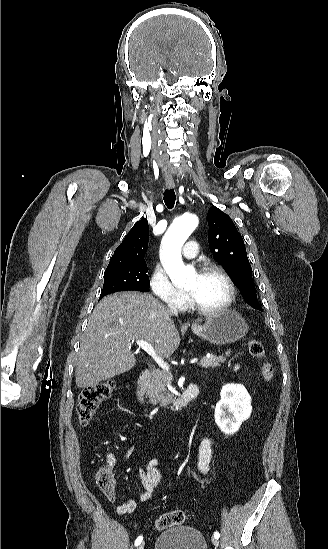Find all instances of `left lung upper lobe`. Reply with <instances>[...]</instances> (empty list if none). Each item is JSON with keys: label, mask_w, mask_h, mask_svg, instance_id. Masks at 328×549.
<instances>
[{"label": "left lung upper lobe", "mask_w": 328, "mask_h": 549, "mask_svg": "<svg viewBox=\"0 0 328 549\" xmlns=\"http://www.w3.org/2000/svg\"><path fill=\"white\" fill-rule=\"evenodd\" d=\"M209 246L215 260L224 268L252 307L258 305L252 268L242 236L231 218L216 207L208 211Z\"/></svg>", "instance_id": "5c2ea615"}]
</instances>
